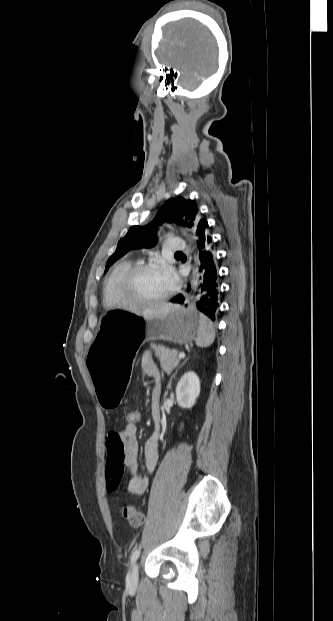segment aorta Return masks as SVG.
<instances>
[{
    "label": "aorta",
    "mask_w": 333,
    "mask_h": 621,
    "mask_svg": "<svg viewBox=\"0 0 333 621\" xmlns=\"http://www.w3.org/2000/svg\"><path fill=\"white\" fill-rule=\"evenodd\" d=\"M197 284H198V281H197V280H196V281H194V283H193V287H194V289L197 287Z\"/></svg>",
    "instance_id": "1"
}]
</instances>
